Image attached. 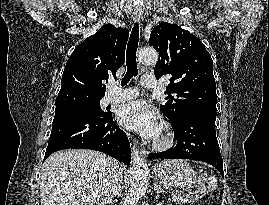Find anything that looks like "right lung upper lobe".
Returning a JSON list of instances; mask_svg holds the SVG:
<instances>
[{"label": "right lung upper lobe", "mask_w": 269, "mask_h": 205, "mask_svg": "<svg viewBox=\"0 0 269 205\" xmlns=\"http://www.w3.org/2000/svg\"><path fill=\"white\" fill-rule=\"evenodd\" d=\"M129 31L104 25L78 45L69 57L56 97V107L100 101L106 86L125 61Z\"/></svg>", "instance_id": "obj_1"}]
</instances>
